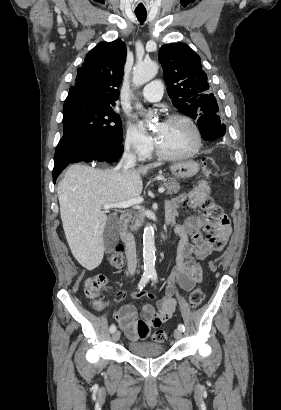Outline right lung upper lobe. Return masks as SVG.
Wrapping results in <instances>:
<instances>
[{"label":"right lung upper lobe","mask_w":281,"mask_h":410,"mask_svg":"<svg viewBox=\"0 0 281 410\" xmlns=\"http://www.w3.org/2000/svg\"><path fill=\"white\" fill-rule=\"evenodd\" d=\"M126 61V46L117 39L98 43L78 68L75 86L70 88L64 106L71 104L115 105Z\"/></svg>","instance_id":"1"}]
</instances>
